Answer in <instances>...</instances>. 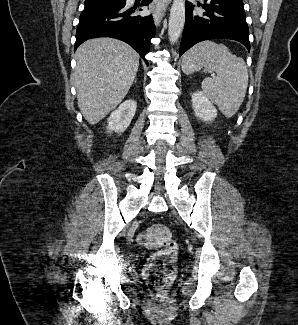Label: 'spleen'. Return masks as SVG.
<instances>
[{
  "label": "spleen",
  "mask_w": 298,
  "mask_h": 325,
  "mask_svg": "<svg viewBox=\"0 0 298 325\" xmlns=\"http://www.w3.org/2000/svg\"><path fill=\"white\" fill-rule=\"evenodd\" d=\"M216 72L202 80V90L226 118L240 108L248 86V70L244 58L236 56L225 44L202 40L185 54L182 70L191 74L196 70Z\"/></svg>",
  "instance_id": "spleen-1"
}]
</instances>
